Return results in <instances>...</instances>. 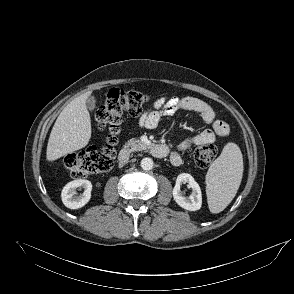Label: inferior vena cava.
I'll return each mask as SVG.
<instances>
[{"instance_id":"obj_1","label":"inferior vena cava","mask_w":294,"mask_h":294,"mask_svg":"<svg viewBox=\"0 0 294 294\" xmlns=\"http://www.w3.org/2000/svg\"><path fill=\"white\" fill-rule=\"evenodd\" d=\"M125 162H127V159H125V160L121 161V163H125Z\"/></svg>"}]
</instances>
